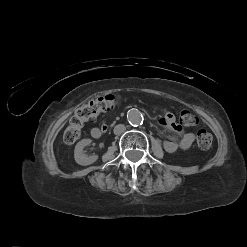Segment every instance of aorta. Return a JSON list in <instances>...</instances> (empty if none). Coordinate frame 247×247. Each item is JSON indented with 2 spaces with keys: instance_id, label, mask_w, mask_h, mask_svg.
Masks as SVG:
<instances>
[{
  "instance_id": "762f6f07",
  "label": "aorta",
  "mask_w": 247,
  "mask_h": 247,
  "mask_svg": "<svg viewBox=\"0 0 247 247\" xmlns=\"http://www.w3.org/2000/svg\"><path fill=\"white\" fill-rule=\"evenodd\" d=\"M127 119L132 126H138L143 123V116L137 109H130L127 113Z\"/></svg>"
}]
</instances>
